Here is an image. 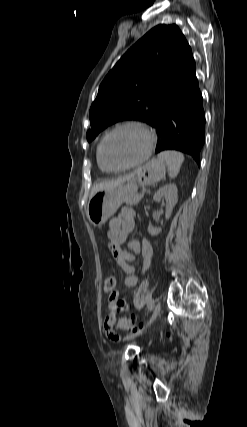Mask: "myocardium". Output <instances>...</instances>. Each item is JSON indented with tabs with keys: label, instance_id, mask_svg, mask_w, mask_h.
<instances>
[{
	"label": "myocardium",
	"instance_id": "myocardium-1",
	"mask_svg": "<svg viewBox=\"0 0 247 427\" xmlns=\"http://www.w3.org/2000/svg\"><path fill=\"white\" fill-rule=\"evenodd\" d=\"M126 127H134V128H138L141 131H143L146 136L148 137V146L147 149L145 151V153L143 154V156L141 158H139L137 161L122 166V167H111L107 164L105 157H104V147L105 144L107 142V140L109 139V137L114 134L115 132H117L118 130L122 129V128H126ZM156 144V134L153 131L152 128H150L148 125H146L145 123L139 122V121H125V122H121L119 124H117L116 126H114L111 130H109L104 137L102 138L100 144H99V159L101 164L103 165V167L108 171V172H121V171H125L131 168H134L136 166H139L141 164H143L145 161H147L149 159V157L151 156L154 147Z\"/></svg>",
	"mask_w": 247,
	"mask_h": 427
}]
</instances>
